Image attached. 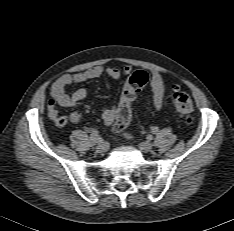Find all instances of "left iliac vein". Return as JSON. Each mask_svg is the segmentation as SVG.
Wrapping results in <instances>:
<instances>
[{
  "label": "left iliac vein",
  "instance_id": "4c4485c4",
  "mask_svg": "<svg viewBox=\"0 0 234 231\" xmlns=\"http://www.w3.org/2000/svg\"><path fill=\"white\" fill-rule=\"evenodd\" d=\"M139 149L142 152H150L153 149V145L150 142H142L139 144Z\"/></svg>",
  "mask_w": 234,
  "mask_h": 231
}]
</instances>
